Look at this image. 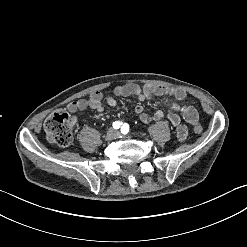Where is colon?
<instances>
[{"mask_svg":"<svg viewBox=\"0 0 247 247\" xmlns=\"http://www.w3.org/2000/svg\"><path fill=\"white\" fill-rule=\"evenodd\" d=\"M46 139L50 144L68 147L73 139L72 121L68 113L57 111L50 114L43 123ZM197 134L202 133L201 125L194 127Z\"/></svg>","mask_w":247,"mask_h":247,"instance_id":"obj_1","label":"colon"}]
</instances>
